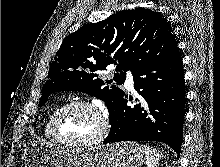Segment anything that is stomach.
Returning a JSON list of instances; mask_svg holds the SVG:
<instances>
[{
    "label": "stomach",
    "mask_w": 220,
    "mask_h": 167,
    "mask_svg": "<svg viewBox=\"0 0 220 167\" xmlns=\"http://www.w3.org/2000/svg\"><path fill=\"white\" fill-rule=\"evenodd\" d=\"M144 153L134 142L94 148H59L32 142L24 152L25 167H141Z\"/></svg>",
    "instance_id": "1"
}]
</instances>
